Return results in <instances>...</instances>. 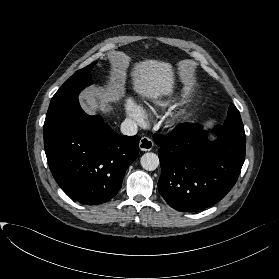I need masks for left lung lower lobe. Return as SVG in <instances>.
Listing matches in <instances>:
<instances>
[{
    "label": "left lung lower lobe",
    "mask_w": 279,
    "mask_h": 279,
    "mask_svg": "<svg viewBox=\"0 0 279 279\" xmlns=\"http://www.w3.org/2000/svg\"><path fill=\"white\" fill-rule=\"evenodd\" d=\"M218 140L210 142L202 126L178 125L155 135L161 163L158 189L178 211H199L219 202L234 186L245 160L244 132L219 125Z\"/></svg>",
    "instance_id": "0a47b994"
}]
</instances>
